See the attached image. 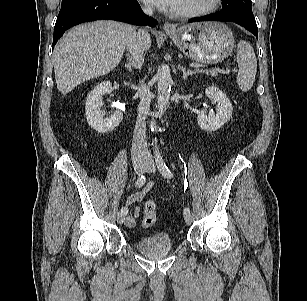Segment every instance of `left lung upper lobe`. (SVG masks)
<instances>
[{
  "label": "left lung upper lobe",
  "mask_w": 307,
  "mask_h": 301,
  "mask_svg": "<svg viewBox=\"0 0 307 301\" xmlns=\"http://www.w3.org/2000/svg\"><path fill=\"white\" fill-rule=\"evenodd\" d=\"M219 12H251V0H223Z\"/></svg>",
  "instance_id": "left-lung-upper-lobe-1"
}]
</instances>
